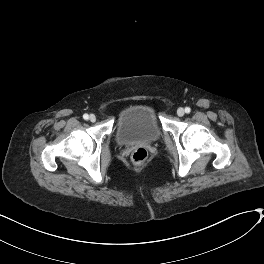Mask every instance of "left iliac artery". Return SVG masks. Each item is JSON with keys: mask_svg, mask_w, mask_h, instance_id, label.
I'll list each match as a JSON object with an SVG mask.
<instances>
[{"mask_svg": "<svg viewBox=\"0 0 264 264\" xmlns=\"http://www.w3.org/2000/svg\"><path fill=\"white\" fill-rule=\"evenodd\" d=\"M190 111H191V109H190L189 107H186V108H185V112H186V113H190Z\"/></svg>", "mask_w": 264, "mask_h": 264, "instance_id": "1", "label": "left iliac artery"}]
</instances>
